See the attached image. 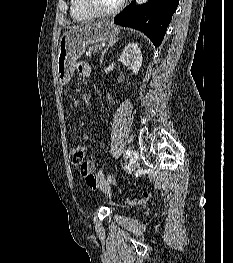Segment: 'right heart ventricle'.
Here are the masks:
<instances>
[{
    "instance_id": "e07e8e85",
    "label": "right heart ventricle",
    "mask_w": 233,
    "mask_h": 263,
    "mask_svg": "<svg viewBox=\"0 0 233 263\" xmlns=\"http://www.w3.org/2000/svg\"><path fill=\"white\" fill-rule=\"evenodd\" d=\"M71 16L76 21H89L93 16L85 9L82 0H71Z\"/></svg>"
}]
</instances>
